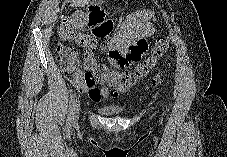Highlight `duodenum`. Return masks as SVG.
Here are the masks:
<instances>
[{
	"mask_svg": "<svg viewBox=\"0 0 227 157\" xmlns=\"http://www.w3.org/2000/svg\"><path fill=\"white\" fill-rule=\"evenodd\" d=\"M91 9H100V4H91ZM105 21V16H90L88 25H102ZM106 30H115V25H102V27H95V32H106Z\"/></svg>",
	"mask_w": 227,
	"mask_h": 157,
	"instance_id": "duodenum-1",
	"label": "duodenum"
}]
</instances>
